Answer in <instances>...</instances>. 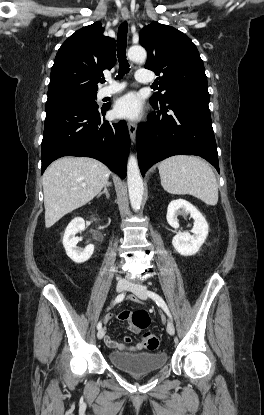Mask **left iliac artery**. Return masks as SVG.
<instances>
[{
	"instance_id": "obj_1",
	"label": "left iliac artery",
	"mask_w": 264,
	"mask_h": 415,
	"mask_svg": "<svg viewBox=\"0 0 264 415\" xmlns=\"http://www.w3.org/2000/svg\"><path fill=\"white\" fill-rule=\"evenodd\" d=\"M147 295L151 299H153L156 302V304L158 306H160L166 312V314L168 315V317L172 320V316H171V313L169 311V308L166 305V303L163 300V298L160 295H158L157 293L153 292V291H147Z\"/></svg>"
}]
</instances>
